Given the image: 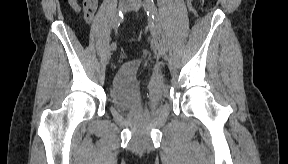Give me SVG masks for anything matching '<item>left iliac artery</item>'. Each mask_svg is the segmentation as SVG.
<instances>
[{"label":"left iliac artery","mask_w":288,"mask_h":164,"mask_svg":"<svg viewBox=\"0 0 288 164\" xmlns=\"http://www.w3.org/2000/svg\"><path fill=\"white\" fill-rule=\"evenodd\" d=\"M143 7L147 15L152 18L153 26L155 27L157 32H160V18L153 0H144Z\"/></svg>","instance_id":"left-iliac-artery-1"}]
</instances>
